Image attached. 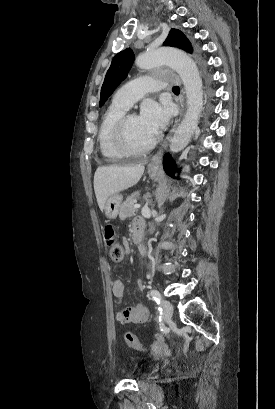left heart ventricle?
<instances>
[{
	"mask_svg": "<svg viewBox=\"0 0 275 409\" xmlns=\"http://www.w3.org/2000/svg\"><path fill=\"white\" fill-rule=\"evenodd\" d=\"M128 129L130 142L135 147H144L155 137L145 129L137 116L129 119Z\"/></svg>",
	"mask_w": 275,
	"mask_h": 409,
	"instance_id": "b2bd125f",
	"label": "left heart ventricle"
}]
</instances>
